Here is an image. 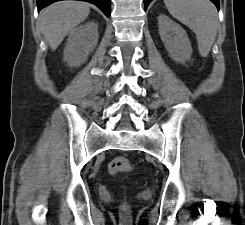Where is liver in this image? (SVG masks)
I'll list each match as a JSON object with an SVG mask.
<instances>
[{"label": "liver", "mask_w": 245, "mask_h": 225, "mask_svg": "<svg viewBox=\"0 0 245 225\" xmlns=\"http://www.w3.org/2000/svg\"><path fill=\"white\" fill-rule=\"evenodd\" d=\"M89 13V4L73 0L56 2L44 8L39 15V26L50 48L56 50Z\"/></svg>", "instance_id": "6515ba94"}]
</instances>
